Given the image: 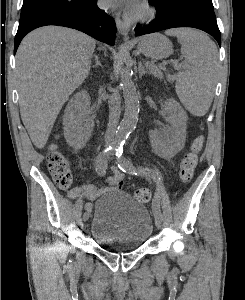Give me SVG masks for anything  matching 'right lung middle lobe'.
<instances>
[{"mask_svg":"<svg viewBox=\"0 0 245 300\" xmlns=\"http://www.w3.org/2000/svg\"><path fill=\"white\" fill-rule=\"evenodd\" d=\"M95 2L96 0H24L19 24L63 11H81Z\"/></svg>","mask_w":245,"mask_h":300,"instance_id":"obj_1","label":"right lung middle lobe"}]
</instances>
